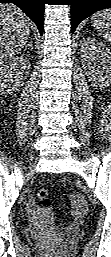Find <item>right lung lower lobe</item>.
I'll return each mask as SVG.
<instances>
[{
    "label": "right lung lower lobe",
    "instance_id": "right-lung-lower-lobe-1",
    "mask_svg": "<svg viewBox=\"0 0 111 257\" xmlns=\"http://www.w3.org/2000/svg\"><path fill=\"white\" fill-rule=\"evenodd\" d=\"M0 3L17 5L37 25L40 34H43L45 0H0Z\"/></svg>",
    "mask_w": 111,
    "mask_h": 257
}]
</instances>
